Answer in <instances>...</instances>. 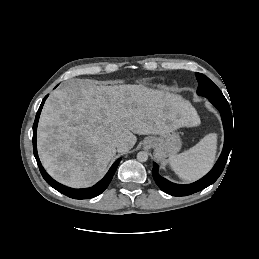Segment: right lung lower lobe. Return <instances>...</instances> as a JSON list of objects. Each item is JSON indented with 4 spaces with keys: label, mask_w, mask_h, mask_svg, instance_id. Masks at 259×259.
I'll return each instance as SVG.
<instances>
[{
    "label": "right lung lower lobe",
    "mask_w": 259,
    "mask_h": 259,
    "mask_svg": "<svg viewBox=\"0 0 259 259\" xmlns=\"http://www.w3.org/2000/svg\"><path fill=\"white\" fill-rule=\"evenodd\" d=\"M48 95L43 99L39 110L36 114V118L34 121L33 125V151H34V156L36 158L37 164L39 166L40 172L45 179V181L52 186L54 189L59 191L60 193L74 199H89L93 198L95 196H98L101 194L109 185L111 179L113 178V175L118 167V164L121 159H118L117 161L114 162V164L111 166L109 169L108 173L104 176V178L99 181L96 185H94L91 188H86V189H72L69 187H66L58 182H56L54 179H52L47 172L44 170L43 166L41 165V162L39 160L38 154H37V148H36V131H37V125H38V120H39V115L41 113V109L43 107V104L46 100Z\"/></svg>",
    "instance_id": "obj_1"
}]
</instances>
